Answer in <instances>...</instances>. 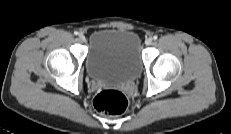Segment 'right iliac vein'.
I'll return each instance as SVG.
<instances>
[{
    "label": "right iliac vein",
    "instance_id": "63e3f726",
    "mask_svg": "<svg viewBox=\"0 0 231 134\" xmlns=\"http://www.w3.org/2000/svg\"><path fill=\"white\" fill-rule=\"evenodd\" d=\"M78 39H79L81 42H84V41H85V36H84V34L80 33V34L78 35Z\"/></svg>",
    "mask_w": 231,
    "mask_h": 134
}]
</instances>
